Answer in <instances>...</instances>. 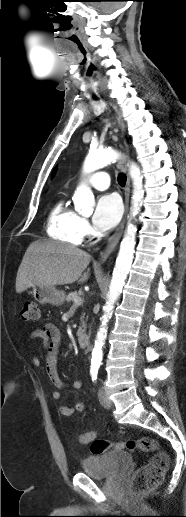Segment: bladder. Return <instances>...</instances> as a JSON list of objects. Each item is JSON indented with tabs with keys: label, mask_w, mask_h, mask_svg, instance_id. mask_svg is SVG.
<instances>
[{
	"label": "bladder",
	"mask_w": 186,
	"mask_h": 517,
	"mask_svg": "<svg viewBox=\"0 0 186 517\" xmlns=\"http://www.w3.org/2000/svg\"><path fill=\"white\" fill-rule=\"evenodd\" d=\"M132 455L125 451H110L86 458L83 473L96 479H109L121 475L131 464Z\"/></svg>",
	"instance_id": "bladder-1"
}]
</instances>
